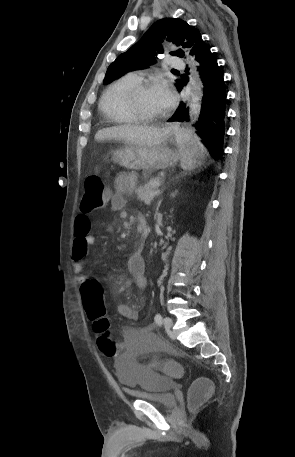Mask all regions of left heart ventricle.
<instances>
[{
    "label": "left heart ventricle",
    "mask_w": 295,
    "mask_h": 457,
    "mask_svg": "<svg viewBox=\"0 0 295 457\" xmlns=\"http://www.w3.org/2000/svg\"><path fill=\"white\" fill-rule=\"evenodd\" d=\"M139 105L140 108L149 115H159L164 112V109L154 95L153 87L141 92L139 96Z\"/></svg>",
    "instance_id": "1"
}]
</instances>
